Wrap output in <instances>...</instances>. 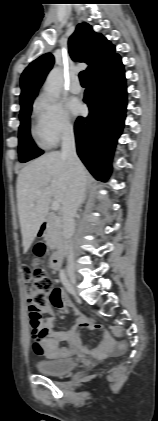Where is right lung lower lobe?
Here are the masks:
<instances>
[{
    "label": "right lung lower lobe",
    "instance_id": "right-lung-lower-lobe-1",
    "mask_svg": "<svg viewBox=\"0 0 158 421\" xmlns=\"http://www.w3.org/2000/svg\"><path fill=\"white\" fill-rule=\"evenodd\" d=\"M127 93L119 55L89 76L84 102L90 113L78 117L74 131L77 153L91 174L105 181L111 172L112 151L125 119Z\"/></svg>",
    "mask_w": 158,
    "mask_h": 421
}]
</instances>
